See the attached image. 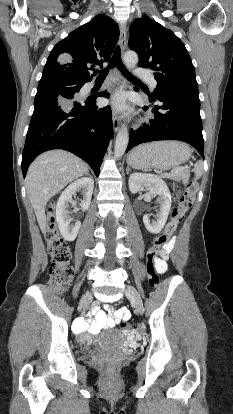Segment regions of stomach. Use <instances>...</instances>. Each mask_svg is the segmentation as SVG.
<instances>
[{
  "mask_svg": "<svg viewBox=\"0 0 233 414\" xmlns=\"http://www.w3.org/2000/svg\"><path fill=\"white\" fill-rule=\"evenodd\" d=\"M190 156L191 150L185 143L160 141L138 146L127 161L134 168L166 171L185 163Z\"/></svg>",
  "mask_w": 233,
  "mask_h": 414,
  "instance_id": "obj_1",
  "label": "stomach"
}]
</instances>
